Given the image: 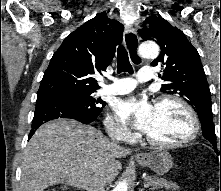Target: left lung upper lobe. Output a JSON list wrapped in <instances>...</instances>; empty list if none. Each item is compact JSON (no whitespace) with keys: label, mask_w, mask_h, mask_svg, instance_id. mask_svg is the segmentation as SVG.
Segmentation results:
<instances>
[{"label":"left lung upper lobe","mask_w":221,"mask_h":191,"mask_svg":"<svg viewBox=\"0 0 221 191\" xmlns=\"http://www.w3.org/2000/svg\"><path fill=\"white\" fill-rule=\"evenodd\" d=\"M139 30L142 39L153 40L161 47L160 55L151 63L164 68L162 79L166 84L161 91L184 98L197 112L202 124L203 136L217 149L211 109V95L200 56L185 34L159 16H150ZM161 77V75H159ZM221 147V137H220Z\"/></svg>","instance_id":"1"}]
</instances>
